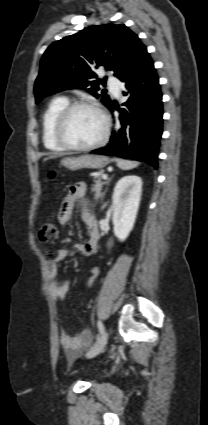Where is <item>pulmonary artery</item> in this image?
I'll use <instances>...</instances> for the list:
<instances>
[{
	"mask_svg": "<svg viewBox=\"0 0 208 425\" xmlns=\"http://www.w3.org/2000/svg\"><path fill=\"white\" fill-rule=\"evenodd\" d=\"M109 85L111 86L114 95L119 96L120 91H119V87H118V81L113 78V77H109L108 79Z\"/></svg>",
	"mask_w": 208,
	"mask_h": 425,
	"instance_id": "obj_1",
	"label": "pulmonary artery"
}]
</instances>
